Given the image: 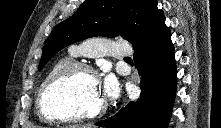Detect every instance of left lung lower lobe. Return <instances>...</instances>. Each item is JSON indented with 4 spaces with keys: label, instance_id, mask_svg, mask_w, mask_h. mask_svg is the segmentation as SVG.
<instances>
[{
    "label": "left lung lower lobe",
    "instance_id": "obj_1",
    "mask_svg": "<svg viewBox=\"0 0 221 128\" xmlns=\"http://www.w3.org/2000/svg\"><path fill=\"white\" fill-rule=\"evenodd\" d=\"M134 50L135 66L142 76V97L96 125L107 128H167L176 94L177 72L165 17Z\"/></svg>",
    "mask_w": 221,
    "mask_h": 128
}]
</instances>
